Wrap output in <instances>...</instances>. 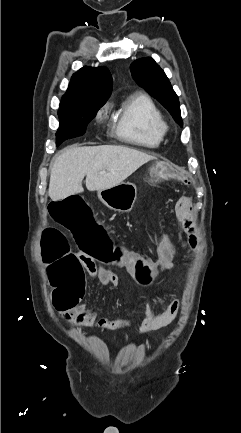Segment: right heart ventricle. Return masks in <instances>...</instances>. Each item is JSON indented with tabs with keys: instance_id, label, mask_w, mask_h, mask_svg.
Instances as JSON below:
<instances>
[{
	"instance_id": "right-heart-ventricle-1",
	"label": "right heart ventricle",
	"mask_w": 241,
	"mask_h": 433,
	"mask_svg": "<svg viewBox=\"0 0 241 433\" xmlns=\"http://www.w3.org/2000/svg\"><path fill=\"white\" fill-rule=\"evenodd\" d=\"M163 115L155 102L145 93L127 97L113 117V133L122 142L156 148L164 138Z\"/></svg>"
}]
</instances>
